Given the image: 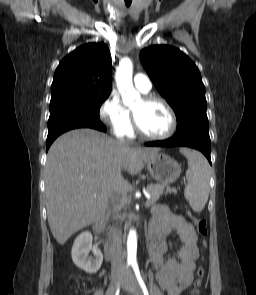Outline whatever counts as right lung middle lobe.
I'll use <instances>...</instances> for the list:
<instances>
[{
    "instance_id": "1",
    "label": "right lung middle lobe",
    "mask_w": 256,
    "mask_h": 295,
    "mask_svg": "<svg viewBox=\"0 0 256 295\" xmlns=\"http://www.w3.org/2000/svg\"><path fill=\"white\" fill-rule=\"evenodd\" d=\"M108 98L69 97L50 102V117L48 124L58 120H76L99 118V110L102 103Z\"/></svg>"
}]
</instances>
